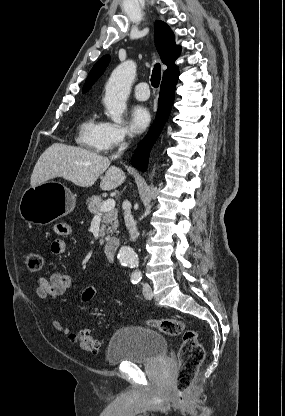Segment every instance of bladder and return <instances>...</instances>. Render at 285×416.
Wrapping results in <instances>:
<instances>
[{
	"label": "bladder",
	"instance_id": "1",
	"mask_svg": "<svg viewBox=\"0 0 285 416\" xmlns=\"http://www.w3.org/2000/svg\"><path fill=\"white\" fill-rule=\"evenodd\" d=\"M161 355H167L164 335L146 326L126 325L118 328L108 345V363H152Z\"/></svg>",
	"mask_w": 285,
	"mask_h": 416
}]
</instances>
